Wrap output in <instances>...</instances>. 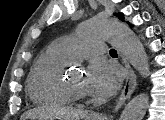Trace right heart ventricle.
<instances>
[{
	"label": "right heart ventricle",
	"mask_w": 165,
	"mask_h": 120,
	"mask_svg": "<svg viewBox=\"0 0 165 120\" xmlns=\"http://www.w3.org/2000/svg\"><path fill=\"white\" fill-rule=\"evenodd\" d=\"M68 59L53 45L39 56L27 83L33 101L39 104H66L71 101L63 75Z\"/></svg>",
	"instance_id": "right-heart-ventricle-1"
}]
</instances>
